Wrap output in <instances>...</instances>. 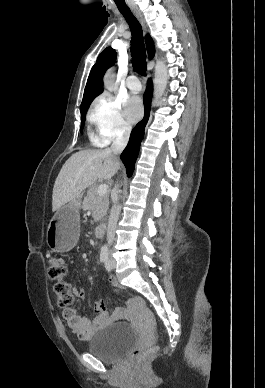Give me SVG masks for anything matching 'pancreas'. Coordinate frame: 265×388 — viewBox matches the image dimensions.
<instances>
[{"instance_id": "cf45deb5", "label": "pancreas", "mask_w": 265, "mask_h": 388, "mask_svg": "<svg viewBox=\"0 0 265 388\" xmlns=\"http://www.w3.org/2000/svg\"><path fill=\"white\" fill-rule=\"evenodd\" d=\"M98 186H92L87 192L82 204L83 210H91L94 222H100L103 216H106L109 206V194L99 196L97 194Z\"/></svg>"}]
</instances>
